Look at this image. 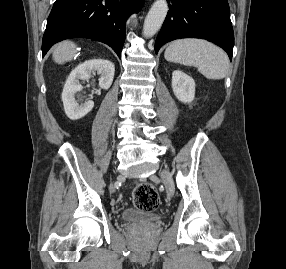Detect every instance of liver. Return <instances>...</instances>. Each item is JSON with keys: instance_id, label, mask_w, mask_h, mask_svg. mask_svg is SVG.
Here are the masks:
<instances>
[{"instance_id": "1", "label": "liver", "mask_w": 286, "mask_h": 269, "mask_svg": "<svg viewBox=\"0 0 286 269\" xmlns=\"http://www.w3.org/2000/svg\"><path fill=\"white\" fill-rule=\"evenodd\" d=\"M76 53V46L71 41L59 43L53 51V58L56 63L62 64L70 61Z\"/></svg>"}]
</instances>
